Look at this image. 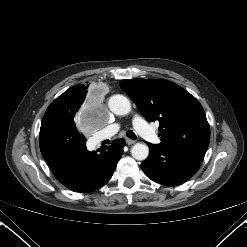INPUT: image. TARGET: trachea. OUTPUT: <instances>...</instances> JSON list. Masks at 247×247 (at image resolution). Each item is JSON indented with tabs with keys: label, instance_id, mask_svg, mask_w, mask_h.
Instances as JSON below:
<instances>
[{
	"label": "trachea",
	"instance_id": "1",
	"mask_svg": "<svg viewBox=\"0 0 247 247\" xmlns=\"http://www.w3.org/2000/svg\"><path fill=\"white\" fill-rule=\"evenodd\" d=\"M126 135H127V137H129L130 139H133V140L136 139V135H135V133H134L132 130H128V131L126 132Z\"/></svg>",
	"mask_w": 247,
	"mask_h": 247
}]
</instances>
